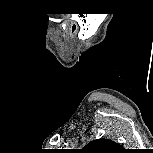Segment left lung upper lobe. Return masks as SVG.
Wrapping results in <instances>:
<instances>
[{"mask_svg": "<svg viewBox=\"0 0 153 153\" xmlns=\"http://www.w3.org/2000/svg\"><path fill=\"white\" fill-rule=\"evenodd\" d=\"M120 146L107 139H98L87 144L84 149L89 153H107L108 151L118 150Z\"/></svg>", "mask_w": 153, "mask_h": 153, "instance_id": "1", "label": "left lung upper lobe"}]
</instances>
